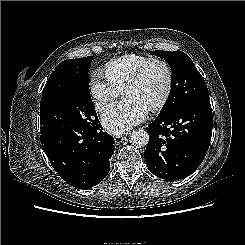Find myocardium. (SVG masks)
<instances>
[{"label": "myocardium", "instance_id": "1", "mask_svg": "<svg viewBox=\"0 0 245 245\" xmlns=\"http://www.w3.org/2000/svg\"><path fill=\"white\" fill-rule=\"evenodd\" d=\"M153 63L161 64L164 67V69L166 71V75H167L166 88H165V91H164L162 98L155 105H153L152 107L149 108V111H151V112H158L162 108H164V106L167 104V102L170 98L171 92H172V87H173L172 69L166 60L159 58V57L149 58L146 62H144L138 68V70L133 74V76L127 81V83L125 84V86L123 88V94H125V92L128 89H130L131 87H133L137 83H139V81L143 77L147 68Z\"/></svg>", "mask_w": 245, "mask_h": 245}]
</instances>
